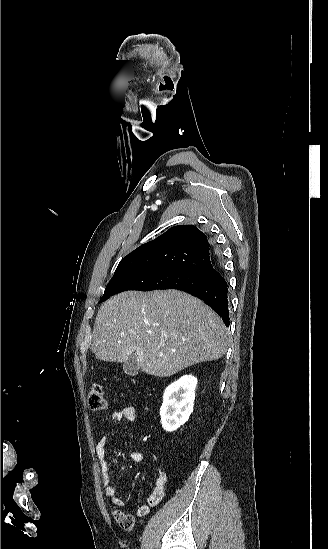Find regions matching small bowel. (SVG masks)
I'll list each match as a JSON object with an SVG mask.
<instances>
[{"mask_svg":"<svg viewBox=\"0 0 328 549\" xmlns=\"http://www.w3.org/2000/svg\"><path fill=\"white\" fill-rule=\"evenodd\" d=\"M109 420L112 424L122 422L134 423L136 421V409L133 406H126L120 410H116L111 413ZM107 439V436H104L96 446V455L100 465L102 483L110 502L115 506H123L124 501L119 497L117 489L111 481L110 466L106 452ZM130 457L133 461L140 462L144 460L145 455L141 451H132ZM167 479L166 472L161 470L155 480L152 492L147 497L146 505H143L138 509L139 515L147 514L149 507L157 505L163 499Z\"/></svg>","mask_w":328,"mask_h":549,"instance_id":"obj_1","label":"small bowel"}]
</instances>
